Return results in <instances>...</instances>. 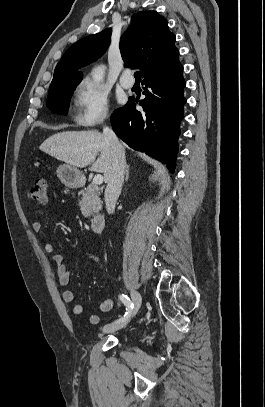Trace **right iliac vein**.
<instances>
[{
    "instance_id": "obj_1",
    "label": "right iliac vein",
    "mask_w": 265,
    "mask_h": 407,
    "mask_svg": "<svg viewBox=\"0 0 265 407\" xmlns=\"http://www.w3.org/2000/svg\"><path fill=\"white\" fill-rule=\"evenodd\" d=\"M131 297H132V300H133V303H134V308L131 311L130 316L124 321L116 322V323H110V324L105 325L103 327V332L104 333H111V332L122 329L129 322L131 317L135 315V313L138 311V309L141 306L142 297H141L140 293H138L135 290H131Z\"/></svg>"
}]
</instances>
